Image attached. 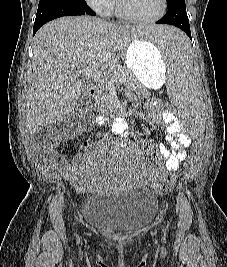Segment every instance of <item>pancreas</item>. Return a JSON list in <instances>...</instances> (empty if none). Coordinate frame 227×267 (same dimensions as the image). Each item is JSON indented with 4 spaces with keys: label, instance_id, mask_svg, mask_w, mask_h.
<instances>
[{
    "label": "pancreas",
    "instance_id": "1",
    "mask_svg": "<svg viewBox=\"0 0 227 267\" xmlns=\"http://www.w3.org/2000/svg\"><path fill=\"white\" fill-rule=\"evenodd\" d=\"M117 83H124L132 88L134 86L142 87L135 76L129 72V70L125 68L115 69L98 82V91L97 96L95 97V106L98 109L111 107V89H114Z\"/></svg>",
    "mask_w": 227,
    "mask_h": 267
}]
</instances>
